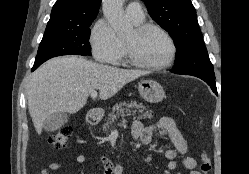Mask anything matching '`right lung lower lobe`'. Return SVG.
<instances>
[{
  "mask_svg": "<svg viewBox=\"0 0 249 174\" xmlns=\"http://www.w3.org/2000/svg\"><path fill=\"white\" fill-rule=\"evenodd\" d=\"M41 64H35L34 63V66H33V68H32V71H34L36 68H38L39 66H40Z\"/></svg>",
  "mask_w": 249,
  "mask_h": 174,
  "instance_id": "98d812e1",
  "label": "right lung lower lobe"
}]
</instances>
